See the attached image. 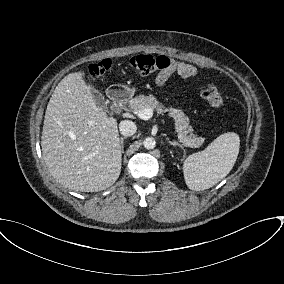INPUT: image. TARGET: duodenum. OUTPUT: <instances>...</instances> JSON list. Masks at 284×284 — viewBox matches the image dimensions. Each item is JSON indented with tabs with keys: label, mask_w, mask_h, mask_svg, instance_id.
Here are the masks:
<instances>
[{
	"label": "duodenum",
	"mask_w": 284,
	"mask_h": 284,
	"mask_svg": "<svg viewBox=\"0 0 284 284\" xmlns=\"http://www.w3.org/2000/svg\"><path fill=\"white\" fill-rule=\"evenodd\" d=\"M129 95V91L123 87H113L110 89L109 97L111 100L112 109L115 112H119Z\"/></svg>",
	"instance_id": "obj_1"
}]
</instances>
